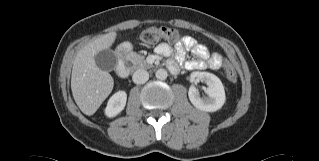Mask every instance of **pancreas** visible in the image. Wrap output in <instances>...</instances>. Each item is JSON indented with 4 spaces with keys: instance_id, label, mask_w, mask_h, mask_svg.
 <instances>
[{
    "instance_id": "cf45deb5",
    "label": "pancreas",
    "mask_w": 319,
    "mask_h": 161,
    "mask_svg": "<svg viewBox=\"0 0 319 161\" xmlns=\"http://www.w3.org/2000/svg\"><path fill=\"white\" fill-rule=\"evenodd\" d=\"M126 59L128 61H131L135 68L137 69H144V68H150L151 66L146 62L145 57L137 54L136 52H130Z\"/></svg>"
}]
</instances>
